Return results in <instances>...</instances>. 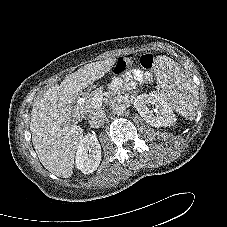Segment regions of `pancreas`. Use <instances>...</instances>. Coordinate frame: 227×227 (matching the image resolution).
Returning <instances> with one entry per match:
<instances>
[{
	"label": "pancreas",
	"instance_id": "1",
	"mask_svg": "<svg viewBox=\"0 0 227 227\" xmlns=\"http://www.w3.org/2000/svg\"><path fill=\"white\" fill-rule=\"evenodd\" d=\"M102 91L100 89H96L95 91L89 94L88 100L83 105V111L93 113L96 110L100 109L102 106V101L98 100L101 97Z\"/></svg>",
	"mask_w": 227,
	"mask_h": 227
}]
</instances>
